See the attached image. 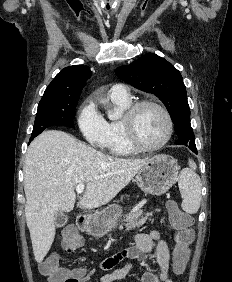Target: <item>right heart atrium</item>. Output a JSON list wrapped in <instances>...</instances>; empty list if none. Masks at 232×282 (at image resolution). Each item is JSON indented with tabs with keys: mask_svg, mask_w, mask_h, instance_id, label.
Instances as JSON below:
<instances>
[{
	"mask_svg": "<svg viewBox=\"0 0 232 282\" xmlns=\"http://www.w3.org/2000/svg\"><path fill=\"white\" fill-rule=\"evenodd\" d=\"M77 123L80 132L90 145L104 148L107 139V122L91 100L82 104Z\"/></svg>",
	"mask_w": 232,
	"mask_h": 282,
	"instance_id": "d8ad5b80",
	"label": "right heart atrium"
}]
</instances>
